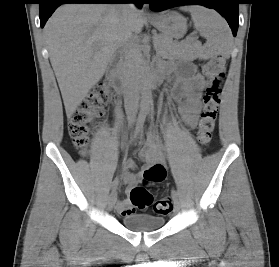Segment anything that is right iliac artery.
Segmentation results:
<instances>
[{
	"label": "right iliac artery",
	"mask_w": 279,
	"mask_h": 267,
	"mask_svg": "<svg viewBox=\"0 0 279 267\" xmlns=\"http://www.w3.org/2000/svg\"><path fill=\"white\" fill-rule=\"evenodd\" d=\"M145 117H146L145 114H143V113L139 114L138 119H137V123H136V127H135V130H134V134H133V139H132L133 141L135 140V138L141 132V130L143 128V125H144V122H145ZM117 186H118V178H115L114 181L112 182V185H111L112 191H115Z\"/></svg>",
	"instance_id": "obj_1"
}]
</instances>
